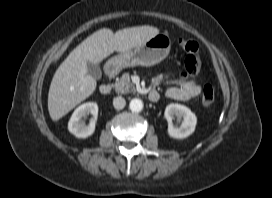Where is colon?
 <instances>
[{
    "mask_svg": "<svg viewBox=\"0 0 272 198\" xmlns=\"http://www.w3.org/2000/svg\"><path fill=\"white\" fill-rule=\"evenodd\" d=\"M182 48L185 52L184 67L186 72L191 75L198 74L202 63L199 54V45L195 41H182ZM215 89L211 85H205L202 90L201 101L205 107H210L215 102Z\"/></svg>",
    "mask_w": 272,
    "mask_h": 198,
    "instance_id": "colon-1",
    "label": "colon"
}]
</instances>
